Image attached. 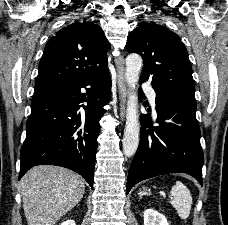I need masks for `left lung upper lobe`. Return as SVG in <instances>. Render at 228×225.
I'll list each match as a JSON object with an SVG mask.
<instances>
[{"instance_id": "1", "label": "left lung upper lobe", "mask_w": 228, "mask_h": 225, "mask_svg": "<svg viewBox=\"0 0 228 225\" xmlns=\"http://www.w3.org/2000/svg\"><path fill=\"white\" fill-rule=\"evenodd\" d=\"M125 48L143 58L141 80L152 79L157 95L196 104L191 63L177 34L155 22H141L129 34Z\"/></svg>"}]
</instances>
